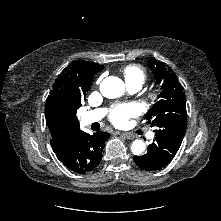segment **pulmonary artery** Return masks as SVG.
Returning a JSON list of instances; mask_svg holds the SVG:
<instances>
[{
  "label": "pulmonary artery",
  "instance_id": "pulmonary-artery-1",
  "mask_svg": "<svg viewBox=\"0 0 221 221\" xmlns=\"http://www.w3.org/2000/svg\"><path fill=\"white\" fill-rule=\"evenodd\" d=\"M126 86L130 92L134 93L141 89L142 82L139 80H126ZM105 113L106 111L104 109H96V110L88 111L83 115L82 119L85 124H91V123L101 120L103 116L105 115ZM147 137L149 139H152L154 137V133L149 132L147 134Z\"/></svg>",
  "mask_w": 221,
  "mask_h": 221
}]
</instances>
